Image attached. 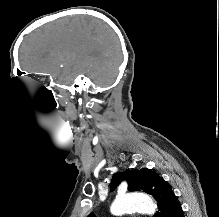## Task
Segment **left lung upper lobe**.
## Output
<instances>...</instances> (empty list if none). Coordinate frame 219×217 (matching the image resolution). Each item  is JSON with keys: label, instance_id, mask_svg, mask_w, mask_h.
Listing matches in <instances>:
<instances>
[{"label": "left lung upper lobe", "instance_id": "left-lung-upper-lobe-1", "mask_svg": "<svg viewBox=\"0 0 219 217\" xmlns=\"http://www.w3.org/2000/svg\"><path fill=\"white\" fill-rule=\"evenodd\" d=\"M123 180L127 181L129 191H143L153 195L158 204V211L153 217H169L174 205L179 202L171 185L148 168L116 173L112 178L111 189H115ZM88 217L95 215L91 213Z\"/></svg>", "mask_w": 219, "mask_h": 217}]
</instances>
